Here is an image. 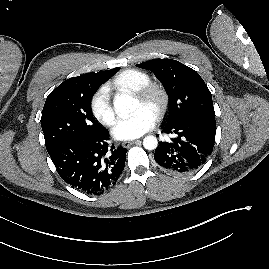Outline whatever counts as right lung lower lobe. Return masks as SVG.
I'll return each instance as SVG.
<instances>
[{"instance_id": "98d812e1", "label": "right lung lower lobe", "mask_w": 269, "mask_h": 269, "mask_svg": "<svg viewBox=\"0 0 269 269\" xmlns=\"http://www.w3.org/2000/svg\"><path fill=\"white\" fill-rule=\"evenodd\" d=\"M102 129L84 138L69 139L48 152L60 177L73 188L100 195L113 187L122 173L127 150L109 147Z\"/></svg>"}]
</instances>
